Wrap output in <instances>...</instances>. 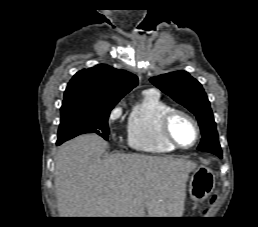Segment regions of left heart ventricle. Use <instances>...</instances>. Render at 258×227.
Here are the masks:
<instances>
[{
    "label": "left heart ventricle",
    "instance_id": "obj_1",
    "mask_svg": "<svg viewBox=\"0 0 258 227\" xmlns=\"http://www.w3.org/2000/svg\"><path fill=\"white\" fill-rule=\"evenodd\" d=\"M174 138L182 145L188 146L195 140V129L192 123L183 116H176L171 123Z\"/></svg>",
    "mask_w": 258,
    "mask_h": 227
}]
</instances>
